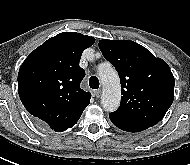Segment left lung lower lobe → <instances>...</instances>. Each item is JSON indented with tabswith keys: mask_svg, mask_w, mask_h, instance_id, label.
<instances>
[{
	"mask_svg": "<svg viewBox=\"0 0 190 165\" xmlns=\"http://www.w3.org/2000/svg\"><path fill=\"white\" fill-rule=\"evenodd\" d=\"M110 120L112 121V123H113L116 127H118V128L121 129V130L127 131V132H140V131L145 130L144 128L134 127V126H130V125L121 123V122L116 121V120H114V119H112V118H110Z\"/></svg>",
	"mask_w": 190,
	"mask_h": 165,
	"instance_id": "left-lung-lower-lobe-1",
	"label": "left lung lower lobe"
}]
</instances>
